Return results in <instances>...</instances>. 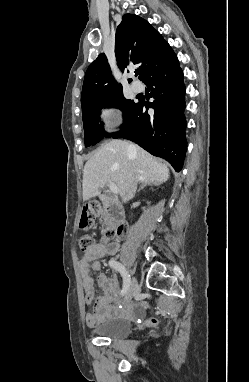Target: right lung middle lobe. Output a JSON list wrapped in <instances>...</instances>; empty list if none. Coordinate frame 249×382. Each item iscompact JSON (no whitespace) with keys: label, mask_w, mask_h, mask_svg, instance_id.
Returning <instances> with one entry per match:
<instances>
[{"label":"right lung middle lobe","mask_w":249,"mask_h":382,"mask_svg":"<svg viewBox=\"0 0 249 382\" xmlns=\"http://www.w3.org/2000/svg\"><path fill=\"white\" fill-rule=\"evenodd\" d=\"M137 106V102L126 99L123 94L105 99H97L82 109L85 146L95 145L110 134L104 132L100 121V111L104 107H116L123 111L124 124L129 120Z\"/></svg>","instance_id":"right-lung-middle-lobe-1"}]
</instances>
